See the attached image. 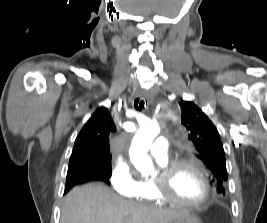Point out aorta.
Segmentation results:
<instances>
[{
    "mask_svg": "<svg viewBox=\"0 0 267 223\" xmlns=\"http://www.w3.org/2000/svg\"><path fill=\"white\" fill-rule=\"evenodd\" d=\"M156 122L145 123L136 133L129 150L131 162L142 175H150L154 170L153 163L147 152L153 139L159 134Z\"/></svg>",
    "mask_w": 267,
    "mask_h": 223,
    "instance_id": "1",
    "label": "aorta"
}]
</instances>
